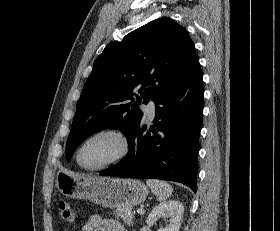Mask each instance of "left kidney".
I'll return each instance as SVG.
<instances>
[{
  "instance_id": "1",
  "label": "left kidney",
  "mask_w": 280,
  "mask_h": 231,
  "mask_svg": "<svg viewBox=\"0 0 280 231\" xmlns=\"http://www.w3.org/2000/svg\"><path fill=\"white\" fill-rule=\"evenodd\" d=\"M183 213L184 205L181 201H162L150 211L146 221L148 225H154L162 217L166 225L159 227L157 231H179Z\"/></svg>"
}]
</instances>
